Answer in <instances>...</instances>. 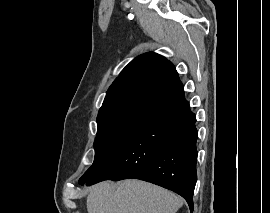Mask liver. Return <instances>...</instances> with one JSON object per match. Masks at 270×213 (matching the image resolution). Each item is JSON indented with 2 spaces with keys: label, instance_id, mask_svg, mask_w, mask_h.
<instances>
[{
  "label": "liver",
  "instance_id": "liver-1",
  "mask_svg": "<svg viewBox=\"0 0 270 213\" xmlns=\"http://www.w3.org/2000/svg\"><path fill=\"white\" fill-rule=\"evenodd\" d=\"M182 204L174 193L138 180L102 182L87 197L88 213H176Z\"/></svg>",
  "mask_w": 270,
  "mask_h": 213
}]
</instances>
